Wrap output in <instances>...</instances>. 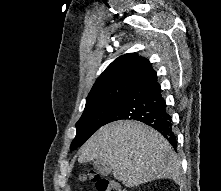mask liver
Instances as JSON below:
<instances>
[{
    "label": "liver",
    "instance_id": "obj_1",
    "mask_svg": "<svg viewBox=\"0 0 221 191\" xmlns=\"http://www.w3.org/2000/svg\"><path fill=\"white\" fill-rule=\"evenodd\" d=\"M102 159L126 187L160 178L181 181V162L168 141L153 128L133 120L101 127L80 150L78 161Z\"/></svg>",
    "mask_w": 221,
    "mask_h": 191
}]
</instances>
